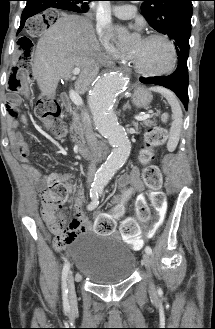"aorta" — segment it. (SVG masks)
Instances as JSON below:
<instances>
[{
  "label": "aorta",
  "mask_w": 215,
  "mask_h": 329,
  "mask_svg": "<svg viewBox=\"0 0 215 329\" xmlns=\"http://www.w3.org/2000/svg\"><path fill=\"white\" fill-rule=\"evenodd\" d=\"M117 34L121 44L129 42V35L122 27L117 28ZM126 84L123 74L107 72L100 76L90 89L88 103L94 126L113 147L111 154L95 174L94 187L106 186L130 154V140L114 112L117 97Z\"/></svg>",
  "instance_id": "aorta-1"
}]
</instances>
